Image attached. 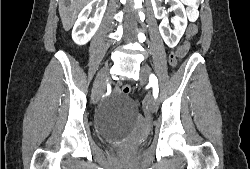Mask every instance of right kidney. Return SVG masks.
<instances>
[{
  "mask_svg": "<svg viewBox=\"0 0 250 169\" xmlns=\"http://www.w3.org/2000/svg\"><path fill=\"white\" fill-rule=\"evenodd\" d=\"M107 0H91L78 14L73 26L72 38L77 44H86L95 34L106 10ZM92 10L93 16H90Z\"/></svg>",
  "mask_w": 250,
  "mask_h": 169,
  "instance_id": "obj_1",
  "label": "right kidney"
}]
</instances>
